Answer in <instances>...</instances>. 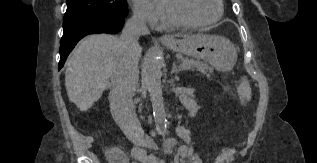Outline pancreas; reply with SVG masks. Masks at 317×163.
<instances>
[{
  "mask_svg": "<svg viewBox=\"0 0 317 163\" xmlns=\"http://www.w3.org/2000/svg\"><path fill=\"white\" fill-rule=\"evenodd\" d=\"M179 59L181 61V66H184L186 69L197 70L203 74H207L208 71H212V68L202 61L183 57H179Z\"/></svg>",
  "mask_w": 317,
  "mask_h": 163,
  "instance_id": "cf45deb5",
  "label": "pancreas"
}]
</instances>
